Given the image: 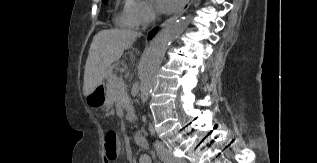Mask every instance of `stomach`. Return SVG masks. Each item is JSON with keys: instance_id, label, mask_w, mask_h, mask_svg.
<instances>
[{"instance_id": "0dacf381", "label": "stomach", "mask_w": 317, "mask_h": 163, "mask_svg": "<svg viewBox=\"0 0 317 163\" xmlns=\"http://www.w3.org/2000/svg\"><path fill=\"white\" fill-rule=\"evenodd\" d=\"M86 102L91 108H101L107 106V93L105 87L100 85L86 96Z\"/></svg>"}]
</instances>
